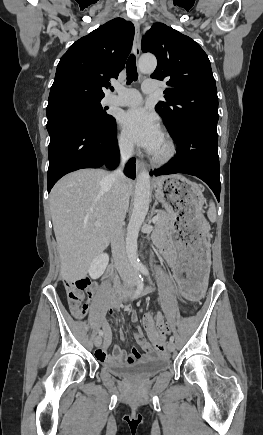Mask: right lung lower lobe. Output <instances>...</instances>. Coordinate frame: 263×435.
Listing matches in <instances>:
<instances>
[{
    "label": "right lung lower lobe",
    "instance_id": "98d812e1",
    "mask_svg": "<svg viewBox=\"0 0 263 435\" xmlns=\"http://www.w3.org/2000/svg\"><path fill=\"white\" fill-rule=\"evenodd\" d=\"M47 130L50 135L48 192L69 172L101 166L114 169L119 162L115 120L105 127L79 119L61 120ZM124 173L132 179L135 178L134 158L127 163Z\"/></svg>",
    "mask_w": 263,
    "mask_h": 435
}]
</instances>
